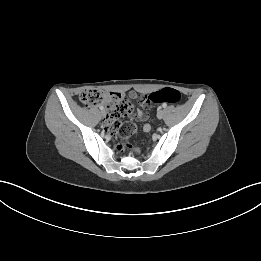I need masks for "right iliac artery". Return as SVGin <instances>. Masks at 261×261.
<instances>
[{"mask_svg":"<svg viewBox=\"0 0 261 261\" xmlns=\"http://www.w3.org/2000/svg\"><path fill=\"white\" fill-rule=\"evenodd\" d=\"M99 108H100L101 110H103V109H104V108H103V106H101V105L99 106Z\"/></svg>","mask_w":261,"mask_h":261,"instance_id":"1","label":"right iliac artery"}]
</instances>
